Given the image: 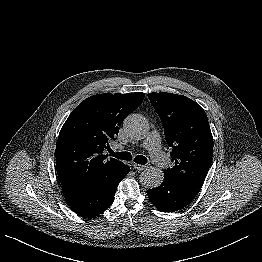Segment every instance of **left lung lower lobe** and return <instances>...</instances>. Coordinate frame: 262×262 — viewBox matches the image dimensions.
<instances>
[{"label":"left lung lower lobe","instance_id":"obj_1","mask_svg":"<svg viewBox=\"0 0 262 262\" xmlns=\"http://www.w3.org/2000/svg\"><path fill=\"white\" fill-rule=\"evenodd\" d=\"M200 188L165 175L160 186L147 190L154 206L161 212H174L187 206L197 195Z\"/></svg>","mask_w":262,"mask_h":262}]
</instances>
